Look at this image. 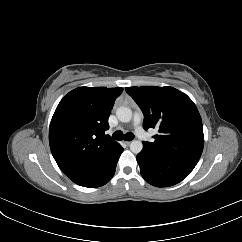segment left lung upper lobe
Listing matches in <instances>:
<instances>
[{
    "label": "left lung upper lobe",
    "instance_id": "left-lung-upper-lobe-1",
    "mask_svg": "<svg viewBox=\"0 0 242 242\" xmlns=\"http://www.w3.org/2000/svg\"><path fill=\"white\" fill-rule=\"evenodd\" d=\"M144 114L145 130L157 128L154 142L143 145L164 155L197 164L203 151L202 120L193 101L173 87H127Z\"/></svg>",
    "mask_w": 242,
    "mask_h": 242
}]
</instances>
